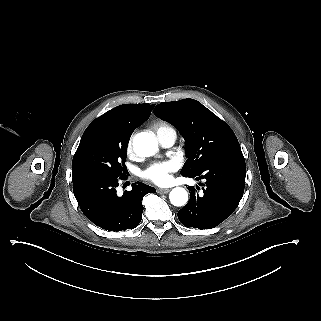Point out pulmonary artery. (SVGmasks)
Here are the masks:
<instances>
[{
  "mask_svg": "<svg viewBox=\"0 0 321 321\" xmlns=\"http://www.w3.org/2000/svg\"><path fill=\"white\" fill-rule=\"evenodd\" d=\"M159 142L164 147L172 146L177 138V133L175 129L168 130L158 135Z\"/></svg>",
  "mask_w": 321,
  "mask_h": 321,
  "instance_id": "obj_1",
  "label": "pulmonary artery"
}]
</instances>
